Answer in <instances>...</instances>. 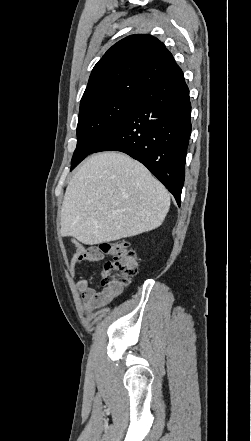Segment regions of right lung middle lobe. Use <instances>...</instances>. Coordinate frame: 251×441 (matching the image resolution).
<instances>
[{"label": "right lung middle lobe", "instance_id": "dd1d6c3e", "mask_svg": "<svg viewBox=\"0 0 251 441\" xmlns=\"http://www.w3.org/2000/svg\"><path fill=\"white\" fill-rule=\"evenodd\" d=\"M142 95L105 98L80 109L77 147L72 157L74 169L125 118Z\"/></svg>", "mask_w": 251, "mask_h": 441}]
</instances>
